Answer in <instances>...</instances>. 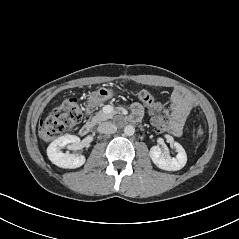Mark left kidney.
<instances>
[{"instance_id": "left-kidney-1", "label": "left kidney", "mask_w": 239, "mask_h": 239, "mask_svg": "<svg viewBox=\"0 0 239 239\" xmlns=\"http://www.w3.org/2000/svg\"><path fill=\"white\" fill-rule=\"evenodd\" d=\"M173 146L177 151V155L175 157H171L168 152L159 146H153L150 149V158L158 168L166 171H177L185 166L187 162V155L184 148L178 142H173Z\"/></svg>"}]
</instances>
